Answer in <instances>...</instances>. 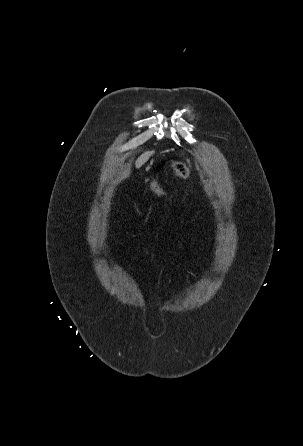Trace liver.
Wrapping results in <instances>:
<instances>
[{
	"instance_id": "1",
	"label": "liver",
	"mask_w": 303,
	"mask_h": 446,
	"mask_svg": "<svg viewBox=\"0 0 303 446\" xmlns=\"http://www.w3.org/2000/svg\"><path fill=\"white\" fill-rule=\"evenodd\" d=\"M152 154L153 152H145L142 155H140V157H138V159L135 162L136 168H140L142 165H144Z\"/></svg>"
}]
</instances>
